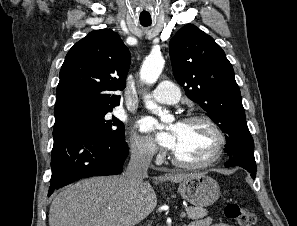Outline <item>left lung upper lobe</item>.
<instances>
[{"label": "left lung upper lobe", "mask_w": 297, "mask_h": 226, "mask_svg": "<svg viewBox=\"0 0 297 226\" xmlns=\"http://www.w3.org/2000/svg\"><path fill=\"white\" fill-rule=\"evenodd\" d=\"M173 74L188 98L198 103L225 133L229 157L254 156L234 70L212 37L192 24L170 40Z\"/></svg>", "instance_id": "obj_1"}]
</instances>
